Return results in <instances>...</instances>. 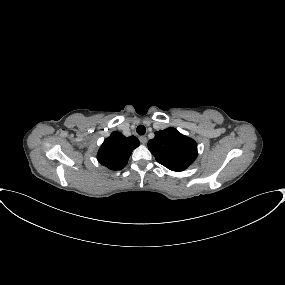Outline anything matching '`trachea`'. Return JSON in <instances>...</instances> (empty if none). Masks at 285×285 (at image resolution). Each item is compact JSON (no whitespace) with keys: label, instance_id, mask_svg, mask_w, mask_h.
Masks as SVG:
<instances>
[{"label":"trachea","instance_id":"obj_1","mask_svg":"<svg viewBox=\"0 0 285 285\" xmlns=\"http://www.w3.org/2000/svg\"><path fill=\"white\" fill-rule=\"evenodd\" d=\"M136 132H137L139 135H144V134L146 133V128H145V126L139 125V126L136 128Z\"/></svg>","mask_w":285,"mask_h":285}]
</instances>
